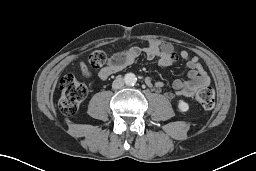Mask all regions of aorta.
Here are the masks:
<instances>
[{
  "mask_svg": "<svg viewBox=\"0 0 256 171\" xmlns=\"http://www.w3.org/2000/svg\"><path fill=\"white\" fill-rule=\"evenodd\" d=\"M124 82L126 85H135L136 82H137V77L135 74L133 73H127L125 76H124Z\"/></svg>",
  "mask_w": 256,
  "mask_h": 171,
  "instance_id": "aorta-1",
  "label": "aorta"
}]
</instances>
